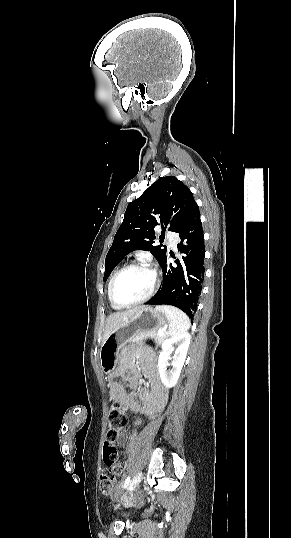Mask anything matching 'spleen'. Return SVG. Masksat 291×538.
<instances>
[{"instance_id":"1","label":"spleen","mask_w":291,"mask_h":538,"mask_svg":"<svg viewBox=\"0 0 291 538\" xmlns=\"http://www.w3.org/2000/svg\"><path fill=\"white\" fill-rule=\"evenodd\" d=\"M156 310L164 313L169 320L168 334L170 336L179 335L190 328V319L182 310L170 305H158Z\"/></svg>"}]
</instances>
